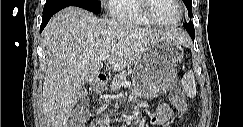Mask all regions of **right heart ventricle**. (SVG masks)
<instances>
[{
  "mask_svg": "<svg viewBox=\"0 0 243 127\" xmlns=\"http://www.w3.org/2000/svg\"><path fill=\"white\" fill-rule=\"evenodd\" d=\"M110 15L122 22L133 25L154 27V24L144 13L142 0H111Z\"/></svg>",
  "mask_w": 243,
  "mask_h": 127,
  "instance_id": "obj_1",
  "label": "right heart ventricle"
}]
</instances>
